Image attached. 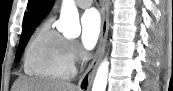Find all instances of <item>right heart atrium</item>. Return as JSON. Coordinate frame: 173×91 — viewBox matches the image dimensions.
<instances>
[{"instance_id":"obj_1","label":"right heart atrium","mask_w":173,"mask_h":91,"mask_svg":"<svg viewBox=\"0 0 173 91\" xmlns=\"http://www.w3.org/2000/svg\"><path fill=\"white\" fill-rule=\"evenodd\" d=\"M68 52L73 62H76L77 60H79L81 53L75 42L73 41L68 42Z\"/></svg>"}]
</instances>
